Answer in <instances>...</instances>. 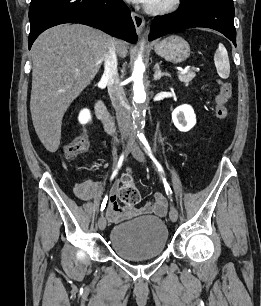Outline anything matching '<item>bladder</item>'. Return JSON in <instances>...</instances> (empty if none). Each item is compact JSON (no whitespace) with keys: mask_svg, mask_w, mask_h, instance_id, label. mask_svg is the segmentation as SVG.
I'll use <instances>...</instances> for the list:
<instances>
[{"mask_svg":"<svg viewBox=\"0 0 261 306\" xmlns=\"http://www.w3.org/2000/svg\"><path fill=\"white\" fill-rule=\"evenodd\" d=\"M169 231L159 217L143 215L115 225L109 241L113 251L129 261L153 259L167 249Z\"/></svg>","mask_w":261,"mask_h":306,"instance_id":"31cf9c89","label":"bladder"}]
</instances>
